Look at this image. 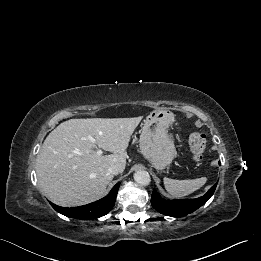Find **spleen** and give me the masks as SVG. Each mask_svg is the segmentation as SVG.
<instances>
[{
  "label": "spleen",
  "instance_id": "obj_1",
  "mask_svg": "<svg viewBox=\"0 0 261 261\" xmlns=\"http://www.w3.org/2000/svg\"><path fill=\"white\" fill-rule=\"evenodd\" d=\"M164 186L169 194L174 197H184L200 189L207 181L206 177L192 180H174L164 178Z\"/></svg>",
  "mask_w": 261,
  "mask_h": 261
}]
</instances>
